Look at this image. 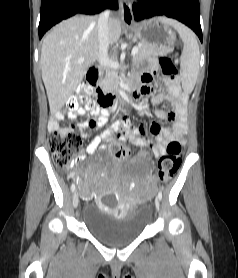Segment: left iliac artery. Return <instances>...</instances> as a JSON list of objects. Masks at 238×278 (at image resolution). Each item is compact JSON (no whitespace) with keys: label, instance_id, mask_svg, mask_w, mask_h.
<instances>
[{"label":"left iliac artery","instance_id":"obj_1","mask_svg":"<svg viewBox=\"0 0 238 278\" xmlns=\"http://www.w3.org/2000/svg\"><path fill=\"white\" fill-rule=\"evenodd\" d=\"M157 198H158L159 200L162 199V192H161V191H159Z\"/></svg>","mask_w":238,"mask_h":278}]
</instances>
